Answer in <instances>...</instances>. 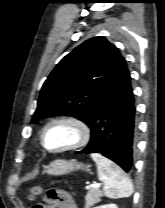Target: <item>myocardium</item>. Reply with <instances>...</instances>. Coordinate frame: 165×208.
Listing matches in <instances>:
<instances>
[{
    "label": "myocardium",
    "instance_id": "f54148a6",
    "mask_svg": "<svg viewBox=\"0 0 165 208\" xmlns=\"http://www.w3.org/2000/svg\"><path fill=\"white\" fill-rule=\"evenodd\" d=\"M58 123H66L74 127V129L77 131V139L73 143L56 148V149H51L48 148L45 144L44 141V136L46 131L53 125L58 124ZM91 138V128L90 126L82 119L72 117V116H60L56 117L52 120H50L42 129L41 134H40V143L41 146L50 153H61V152H66V151H71L75 149H79L84 147L85 145L88 144Z\"/></svg>",
    "mask_w": 165,
    "mask_h": 208
}]
</instances>
